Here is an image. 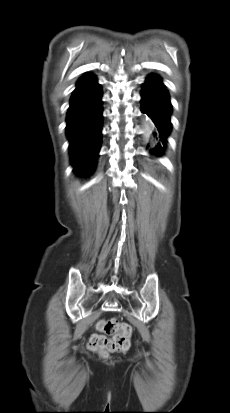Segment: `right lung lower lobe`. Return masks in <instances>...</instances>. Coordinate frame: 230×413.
I'll return each mask as SVG.
<instances>
[{"label":"right lung lower lobe","instance_id":"obj_1","mask_svg":"<svg viewBox=\"0 0 230 413\" xmlns=\"http://www.w3.org/2000/svg\"><path fill=\"white\" fill-rule=\"evenodd\" d=\"M102 90L92 74L77 82L67 112L66 134L71 162L81 175L89 174L96 165L101 144Z\"/></svg>","mask_w":230,"mask_h":413}]
</instances>
